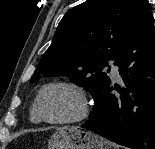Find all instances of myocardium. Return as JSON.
Instances as JSON below:
<instances>
[{
  "label": "myocardium",
  "instance_id": "f54148a6",
  "mask_svg": "<svg viewBox=\"0 0 155 149\" xmlns=\"http://www.w3.org/2000/svg\"><path fill=\"white\" fill-rule=\"evenodd\" d=\"M53 87L68 88L77 94L79 98V110L75 116L70 118H64V119H48L43 115V113L40 110L41 99L44 93ZM33 110L35 111L36 115L38 116L41 122H45L53 125H65V124L77 123L85 119L89 114L90 107H89V101H88L86 91L81 85L72 81L58 80V81L49 82L40 89V91L38 92L34 100Z\"/></svg>",
  "mask_w": 155,
  "mask_h": 149
}]
</instances>
